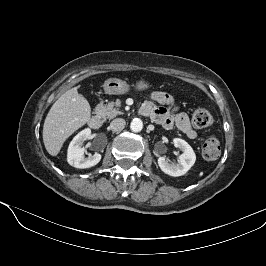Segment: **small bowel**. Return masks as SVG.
<instances>
[{"label": "small bowel", "mask_w": 266, "mask_h": 266, "mask_svg": "<svg viewBox=\"0 0 266 266\" xmlns=\"http://www.w3.org/2000/svg\"><path fill=\"white\" fill-rule=\"evenodd\" d=\"M155 103L171 106L172 111H169L163 106H158ZM140 112L167 129L176 126L178 130L186 135L189 139L197 138V132L192 127L188 115L179 110V107L175 103L173 96L166 92H153L151 94V101H147L142 104Z\"/></svg>", "instance_id": "small-bowel-1"}]
</instances>
